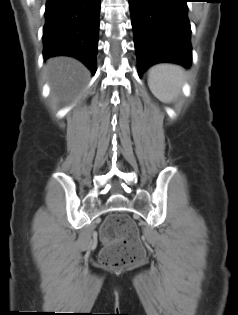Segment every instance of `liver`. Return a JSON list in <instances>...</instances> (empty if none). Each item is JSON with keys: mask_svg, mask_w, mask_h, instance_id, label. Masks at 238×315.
<instances>
[{"mask_svg": "<svg viewBox=\"0 0 238 315\" xmlns=\"http://www.w3.org/2000/svg\"><path fill=\"white\" fill-rule=\"evenodd\" d=\"M45 70L51 86V92L59 100H68L85 85L89 72L76 59L59 56L47 61Z\"/></svg>", "mask_w": 238, "mask_h": 315, "instance_id": "obj_1", "label": "liver"}]
</instances>
